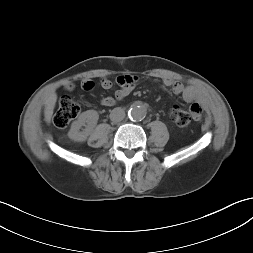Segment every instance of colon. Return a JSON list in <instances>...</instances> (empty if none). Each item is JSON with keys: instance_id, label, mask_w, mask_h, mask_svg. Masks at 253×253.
<instances>
[{"instance_id": "colon-1", "label": "colon", "mask_w": 253, "mask_h": 253, "mask_svg": "<svg viewBox=\"0 0 253 253\" xmlns=\"http://www.w3.org/2000/svg\"><path fill=\"white\" fill-rule=\"evenodd\" d=\"M80 113V106L70 97H63L59 102L58 109L53 117V123L58 128L66 127ZM170 120L180 127H185L190 124V114L178 107L173 106L169 112Z\"/></svg>"}]
</instances>
